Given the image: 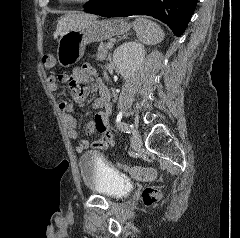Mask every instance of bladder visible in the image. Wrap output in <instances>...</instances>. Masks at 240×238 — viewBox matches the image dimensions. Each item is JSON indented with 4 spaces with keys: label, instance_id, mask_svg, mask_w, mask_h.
<instances>
[{
    "label": "bladder",
    "instance_id": "bladder-1",
    "mask_svg": "<svg viewBox=\"0 0 240 238\" xmlns=\"http://www.w3.org/2000/svg\"><path fill=\"white\" fill-rule=\"evenodd\" d=\"M79 170L84 186L109 199H121L129 194L130 180L108 165L100 154L89 150L79 158Z\"/></svg>",
    "mask_w": 240,
    "mask_h": 238
}]
</instances>
